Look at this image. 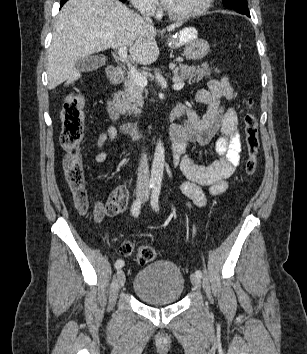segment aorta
Returning <instances> with one entry per match:
<instances>
[{
    "label": "aorta",
    "instance_id": "1",
    "mask_svg": "<svg viewBox=\"0 0 307 354\" xmlns=\"http://www.w3.org/2000/svg\"><path fill=\"white\" fill-rule=\"evenodd\" d=\"M164 163H165V149L161 140L157 141L152 168H151V177L150 183L151 185L160 186L163 177L164 171Z\"/></svg>",
    "mask_w": 307,
    "mask_h": 354
}]
</instances>
